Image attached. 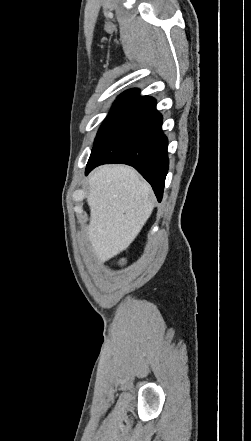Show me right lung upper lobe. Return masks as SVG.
<instances>
[{
    "mask_svg": "<svg viewBox=\"0 0 251 441\" xmlns=\"http://www.w3.org/2000/svg\"><path fill=\"white\" fill-rule=\"evenodd\" d=\"M138 95H139L138 89H130L119 95L117 97V101L133 103L138 99L142 98V97L138 98Z\"/></svg>",
    "mask_w": 251,
    "mask_h": 441,
    "instance_id": "1",
    "label": "right lung upper lobe"
}]
</instances>
